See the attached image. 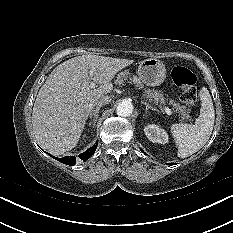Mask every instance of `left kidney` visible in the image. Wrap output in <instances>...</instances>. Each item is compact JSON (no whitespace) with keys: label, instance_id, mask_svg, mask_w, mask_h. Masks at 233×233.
<instances>
[{"label":"left kidney","instance_id":"1","mask_svg":"<svg viewBox=\"0 0 233 233\" xmlns=\"http://www.w3.org/2000/svg\"><path fill=\"white\" fill-rule=\"evenodd\" d=\"M145 135L153 143L166 144L168 143V134L158 125L151 124L144 128Z\"/></svg>","mask_w":233,"mask_h":233}]
</instances>
